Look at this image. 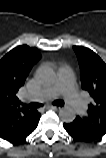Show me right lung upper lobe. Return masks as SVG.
<instances>
[{
    "instance_id": "1",
    "label": "right lung upper lobe",
    "mask_w": 106,
    "mask_h": 158,
    "mask_svg": "<svg viewBox=\"0 0 106 158\" xmlns=\"http://www.w3.org/2000/svg\"><path fill=\"white\" fill-rule=\"evenodd\" d=\"M39 60L35 49L19 46L7 53L0 64V134L15 139L26 132L39 116L21 105L17 92Z\"/></svg>"
}]
</instances>
